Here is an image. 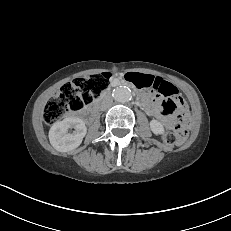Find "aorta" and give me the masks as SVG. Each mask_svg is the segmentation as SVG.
<instances>
[{"mask_svg": "<svg viewBox=\"0 0 231 231\" xmlns=\"http://www.w3.org/2000/svg\"><path fill=\"white\" fill-rule=\"evenodd\" d=\"M112 95L114 100L120 103H127L132 99L131 90L123 86L115 88Z\"/></svg>", "mask_w": 231, "mask_h": 231, "instance_id": "obj_1", "label": "aorta"}]
</instances>
